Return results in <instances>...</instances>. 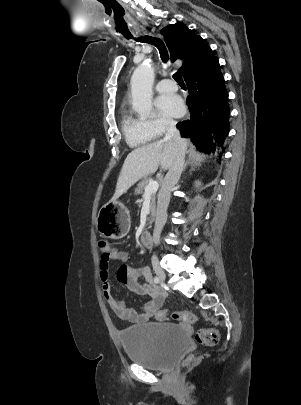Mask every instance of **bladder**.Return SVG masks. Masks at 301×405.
<instances>
[{
	"instance_id": "obj_1",
	"label": "bladder",
	"mask_w": 301,
	"mask_h": 405,
	"mask_svg": "<svg viewBox=\"0 0 301 405\" xmlns=\"http://www.w3.org/2000/svg\"><path fill=\"white\" fill-rule=\"evenodd\" d=\"M127 358L147 369L166 371L189 344L179 324L149 322L128 327L119 334Z\"/></svg>"
}]
</instances>
